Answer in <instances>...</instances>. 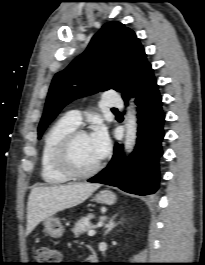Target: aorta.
<instances>
[{"mask_svg":"<svg viewBox=\"0 0 205 265\" xmlns=\"http://www.w3.org/2000/svg\"><path fill=\"white\" fill-rule=\"evenodd\" d=\"M137 134V118H136V110L134 108L133 103L129 106L128 118L126 123V134H125V149L127 152H131L133 150V146L135 145Z\"/></svg>","mask_w":205,"mask_h":265,"instance_id":"1","label":"aorta"}]
</instances>
